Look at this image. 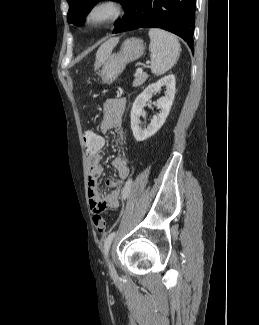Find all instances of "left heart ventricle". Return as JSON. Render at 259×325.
<instances>
[{
  "label": "left heart ventricle",
  "mask_w": 259,
  "mask_h": 325,
  "mask_svg": "<svg viewBox=\"0 0 259 325\" xmlns=\"http://www.w3.org/2000/svg\"><path fill=\"white\" fill-rule=\"evenodd\" d=\"M107 13H108V11L106 9H102V10L98 11L97 17L105 16Z\"/></svg>",
  "instance_id": "1"
}]
</instances>
